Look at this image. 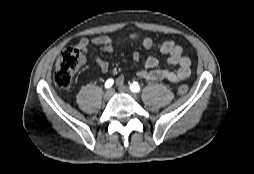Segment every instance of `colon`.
<instances>
[{
	"instance_id": "5ec220e1",
	"label": "colon",
	"mask_w": 254,
	"mask_h": 174,
	"mask_svg": "<svg viewBox=\"0 0 254 174\" xmlns=\"http://www.w3.org/2000/svg\"><path fill=\"white\" fill-rule=\"evenodd\" d=\"M85 61V53L80 47L72 46L63 50L56 61L53 74V80L56 87L58 89L68 88L71 85L75 74ZM178 91L181 94H186L188 92V86L181 85L178 88Z\"/></svg>"
}]
</instances>
